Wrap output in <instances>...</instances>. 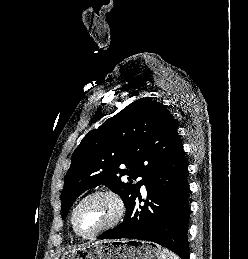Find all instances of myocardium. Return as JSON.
Wrapping results in <instances>:
<instances>
[{
    "label": "myocardium",
    "mask_w": 248,
    "mask_h": 259,
    "mask_svg": "<svg viewBox=\"0 0 248 259\" xmlns=\"http://www.w3.org/2000/svg\"><path fill=\"white\" fill-rule=\"evenodd\" d=\"M98 196H105L114 201V203L116 204V208H117L116 215L108 224H106L105 226H103L102 228L97 230L96 232H94L92 234H83L79 231L77 224H76L77 212L83 203H85L87 200H89L91 198L98 197ZM125 213H126L125 202H124L123 198L117 192H115L114 190H111V189H99V190H95V191L87 194L76 204V206L72 212L71 223H72L73 230L75 231V233L78 236L85 238V239H92V238H95V237L103 234L104 232L116 227L122 221L123 217L125 216Z\"/></svg>",
    "instance_id": "obj_1"
}]
</instances>
